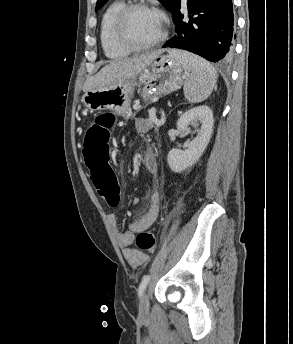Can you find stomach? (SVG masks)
<instances>
[{"label":"stomach","instance_id":"stomach-1","mask_svg":"<svg viewBox=\"0 0 293 344\" xmlns=\"http://www.w3.org/2000/svg\"><path fill=\"white\" fill-rule=\"evenodd\" d=\"M186 76L185 68L172 54L159 55L135 77L115 87L87 91L82 102L90 112L111 110L126 115L135 87H142V96L148 100L180 89Z\"/></svg>","mask_w":293,"mask_h":344}]
</instances>
